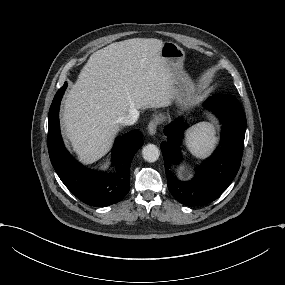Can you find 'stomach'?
I'll return each instance as SVG.
<instances>
[{"mask_svg": "<svg viewBox=\"0 0 285 285\" xmlns=\"http://www.w3.org/2000/svg\"><path fill=\"white\" fill-rule=\"evenodd\" d=\"M162 57L173 67L177 74L176 101L182 108L191 105L194 101L193 85L181 70L184 52L174 43L166 42L163 46Z\"/></svg>", "mask_w": 285, "mask_h": 285, "instance_id": "stomach-1", "label": "stomach"}]
</instances>
